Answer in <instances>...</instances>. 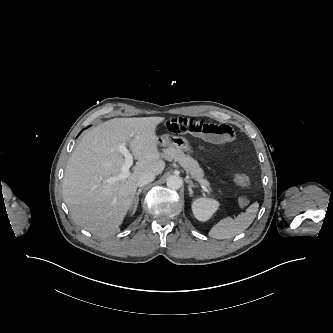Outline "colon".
<instances>
[{"label": "colon", "mask_w": 333, "mask_h": 333, "mask_svg": "<svg viewBox=\"0 0 333 333\" xmlns=\"http://www.w3.org/2000/svg\"><path fill=\"white\" fill-rule=\"evenodd\" d=\"M234 181L237 185L242 186V187H249L251 185V180L250 178L242 173H235L234 174ZM249 204V199L246 196H241L238 199V205L240 207H245Z\"/></svg>", "instance_id": "5ec220e1"}]
</instances>
